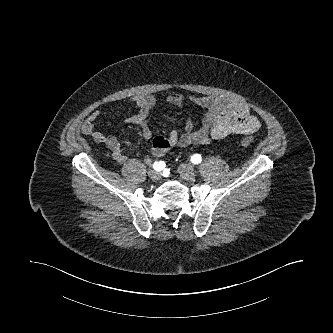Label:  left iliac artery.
Instances as JSON below:
<instances>
[{
	"label": "left iliac artery",
	"instance_id": "obj_1",
	"mask_svg": "<svg viewBox=\"0 0 333 333\" xmlns=\"http://www.w3.org/2000/svg\"><path fill=\"white\" fill-rule=\"evenodd\" d=\"M191 161L192 163L194 164H199L201 161H202V157L200 154H194L192 157H191Z\"/></svg>",
	"mask_w": 333,
	"mask_h": 333
}]
</instances>
